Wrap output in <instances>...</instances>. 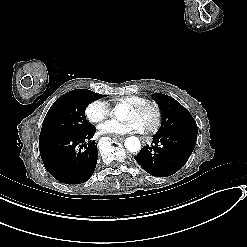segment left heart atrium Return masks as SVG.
Listing matches in <instances>:
<instances>
[{
    "label": "left heart atrium",
    "mask_w": 247,
    "mask_h": 247,
    "mask_svg": "<svg viewBox=\"0 0 247 247\" xmlns=\"http://www.w3.org/2000/svg\"><path fill=\"white\" fill-rule=\"evenodd\" d=\"M142 130L137 120H131L126 123L106 122L98 127L99 135H124L128 133H136Z\"/></svg>",
    "instance_id": "obj_1"
}]
</instances>
